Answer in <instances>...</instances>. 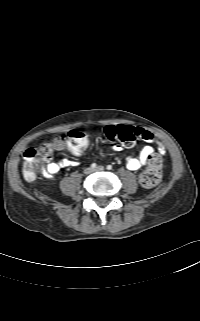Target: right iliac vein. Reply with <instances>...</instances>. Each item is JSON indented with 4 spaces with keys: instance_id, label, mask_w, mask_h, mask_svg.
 <instances>
[{
    "instance_id": "63e3f726",
    "label": "right iliac vein",
    "mask_w": 200,
    "mask_h": 321,
    "mask_svg": "<svg viewBox=\"0 0 200 321\" xmlns=\"http://www.w3.org/2000/svg\"><path fill=\"white\" fill-rule=\"evenodd\" d=\"M92 172H93V169L90 168V167L84 169V173H85L86 175L91 174Z\"/></svg>"
}]
</instances>
